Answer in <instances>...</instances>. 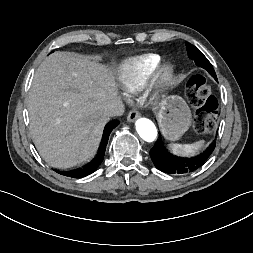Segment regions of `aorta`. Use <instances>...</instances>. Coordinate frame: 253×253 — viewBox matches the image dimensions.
Wrapping results in <instances>:
<instances>
[{
  "instance_id": "obj_1",
  "label": "aorta",
  "mask_w": 253,
  "mask_h": 253,
  "mask_svg": "<svg viewBox=\"0 0 253 253\" xmlns=\"http://www.w3.org/2000/svg\"><path fill=\"white\" fill-rule=\"evenodd\" d=\"M136 131L139 136L146 142L156 141L158 131L155 124L147 118H138L135 122Z\"/></svg>"
}]
</instances>
